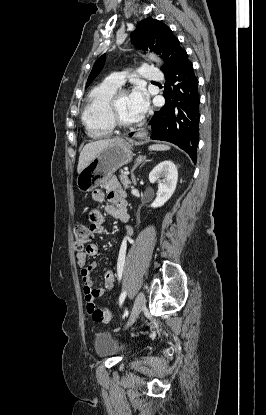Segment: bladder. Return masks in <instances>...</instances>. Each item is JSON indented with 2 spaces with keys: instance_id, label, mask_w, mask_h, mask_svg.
Returning <instances> with one entry per match:
<instances>
[{
  "instance_id": "bladder-1",
  "label": "bladder",
  "mask_w": 266,
  "mask_h": 415,
  "mask_svg": "<svg viewBox=\"0 0 266 415\" xmlns=\"http://www.w3.org/2000/svg\"><path fill=\"white\" fill-rule=\"evenodd\" d=\"M94 351L100 357L124 356L126 349L117 338L109 332H98L94 338Z\"/></svg>"
}]
</instances>
